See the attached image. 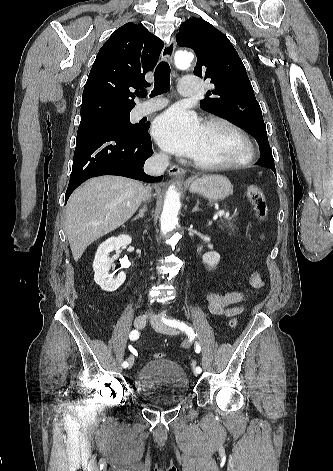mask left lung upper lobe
<instances>
[{
    "label": "left lung upper lobe",
    "mask_w": 333,
    "mask_h": 471,
    "mask_svg": "<svg viewBox=\"0 0 333 471\" xmlns=\"http://www.w3.org/2000/svg\"><path fill=\"white\" fill-rule=\"evenodd\" d=\"M176 41L180 47L195 51L194 74L215 86L207 92L201 107L250 132L259 145L260 159L273 160L260 105L245 66L227 36L202 18H190L181 24Z\"/></svg>",
    "instance_id": "left-lung-upper-lobe-1"
}]
</instances>
